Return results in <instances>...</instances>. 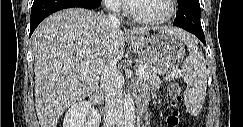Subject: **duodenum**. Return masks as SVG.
<instances>
[{
  "label": "duodenum",
  "instance_id": "duodenum-1",
  "mask_svg": "<svg viewBox=\"0 0 243 127\" xmlns=\"http://www.w3.org/2000/svg\"><path fill=\"white\" fill-rule=\"evenodd\" d=\"M90 100L93 103H98L101 100V98H100L99 94L96 93L91 96ZM146 102H147V96L140 94L139 98H138V105H139V108L141 111H144Z\"/></svg>",
  "mask_w": 243,
  "mask_h": 127
}]
</instances>
